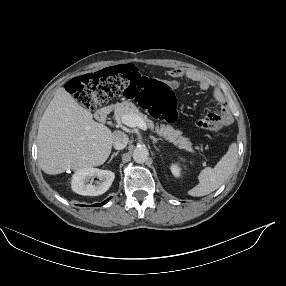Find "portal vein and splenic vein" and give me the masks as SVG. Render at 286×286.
Here are the masks:
<instances>
[{
	"mask_svg": "<svg viewBox=\"0 0 286 286\" xmlns=\"http://www.w3.org/2000/svg\"><path fill=\"white\" fill-rule=\"evenodd\" d=\"M122 123L129 127H138L142 130H147L146 123L138 116L132 114H125L121 119ZM192 152V149L188 150Z\"/></svg>",
	"mask_w": 286,
	"mask_h": 286,
	"instance_id": "portal-vein-and-splenic-vein-1",
	"label": "portal vein and splenic vein"
}]
</instances>
